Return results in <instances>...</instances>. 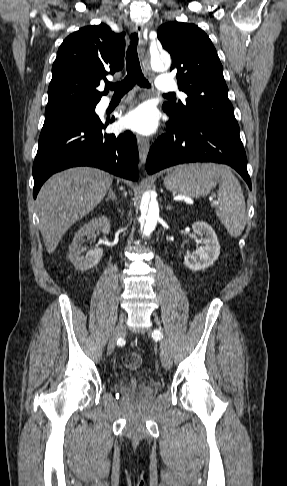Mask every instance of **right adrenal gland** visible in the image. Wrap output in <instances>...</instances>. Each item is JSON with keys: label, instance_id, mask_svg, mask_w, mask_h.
Instances as JSON below:
<instances>
[{"label": "right adrenal gland", "instance_id": "right-adrenal-gland-1", "mask_svg": "<svg viewBox=\"0 0 287 486\" xmlns=\"http://www.w3.org/2000/svg\"><path fill=\"white\" fill-rule=\"evenodd\" d=\"M110 199H112L115 202L117 201V197H116L115 193L113 192L112 188H109L108 196L105 199V201H109Z\"/></svg>", "mask_w": 287, "mask_h": 486}]
</instances>
